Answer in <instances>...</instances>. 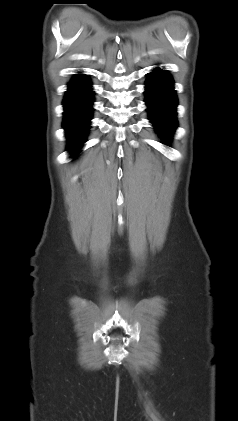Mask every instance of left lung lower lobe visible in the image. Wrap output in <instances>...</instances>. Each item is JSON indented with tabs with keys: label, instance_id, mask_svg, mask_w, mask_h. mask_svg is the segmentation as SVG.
<instances>
[{
	"label": "left lung lower lobe",
	"instance_id": "1",
	"mask_svg": "<svg viewBox=\"0 0 238 421\" xmlns=\"http://www.w3.org/2000/svg\"><path fill=\"white\" fill-rule=\"evenodd\" d=\"M145 94L150 120L166 141L177 126V98L169 73L159 69L151 72L147 78Z\"/></svg>",
	"mask_w": 238,
	"mask_h": 421
}]
</instances>
